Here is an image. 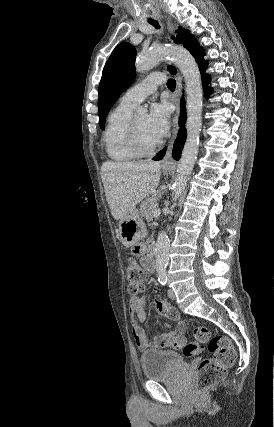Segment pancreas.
Segmentation results:
<instances>
[{
  "mask_svg": "<svg viewBox=\"0 0 274 427\" xmlns=\"http://www.w3.org/2000/svg\"><path fill=\"white\" fill-rule=\"evenodd\" d=\"M157 206V198H147L140 206V215L146 217L147 221H152Z\"/></svg>",
  "mask_w": 274,
  "mask_h": 427,
  "instance_id": "cf45deb5",
  "label": "pancreas"
}]
</instances>
